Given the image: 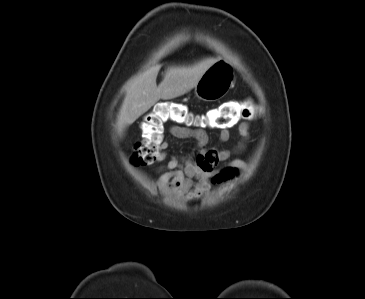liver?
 Listing matches in <instances>:
<instances>
[{
	"instance_id": "1",
	"label": "liver",
	"mask_w": 365,
	"mask_h": 299,
	"mask_svg": "<svg viewBox=\"0 0 365 299\" xmlns=\"http://www.w3.org/2000/svg\"><path fill=\"white\" fill-rule=\"evenodd\" d=\"M218 59L206 58L192 66L169 67L164 79L157 86L160 66H154L135 77L128 85L126 95L117 116L116 129L122 134L160 99L169 100L193 89L204 72Z\"/></svg>"
}]
</instances>
